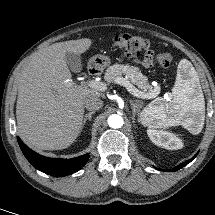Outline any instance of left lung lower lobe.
<instances>
[{"label": "left lung lower lobe", "mask_w": 215, "mask_h": 215, "mask_svg": "<svg viewBox=\"0 0 215 215\" xmlns=\"http://www.w3.org/2000/svg\"><path fill=\"white\" fill-rule=\"evenodd\" d=\"M196 155H197V154H196ZM196 155H195L194 157H192L190 160H188V161H186V162H183V163L179 164L178 166L174 167L173 169H171V170H169V171L174 172V171H177V170L183 168V167L186 166L188 163H190V162L196 157ZM158 170H160V169H158Z\"/></svg>", "instance_id": "1"}]
</instances>
